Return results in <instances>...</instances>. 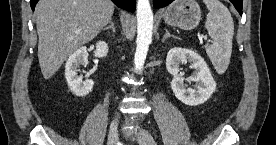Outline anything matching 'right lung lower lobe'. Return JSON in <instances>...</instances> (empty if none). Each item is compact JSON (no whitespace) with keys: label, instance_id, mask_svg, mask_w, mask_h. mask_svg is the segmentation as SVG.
Segmentation results:
<instances>
[{"label":"right lung lower lobe","instance_id":"obj_1","mask_svg":"<svg viewBox=\"0 0 276 145\" xmlns=\"http://www.w3.org/2000/svg\"><path fill=\"white\" fill-rule=\"evenodd\" d=\"M113 1L118 7L128 10L130 12L135 11V0H111ZM38 0H30V5L32 10H34L36 3Z\"/></svg>","mask_w":276,"mask_h":145}]
</instances>
